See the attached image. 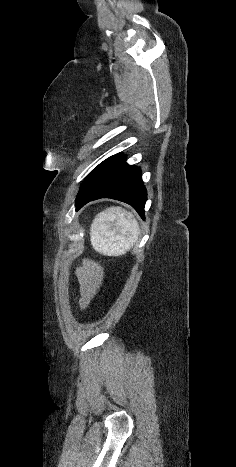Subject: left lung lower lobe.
I'll use <instances>...</instances> for the list:
<instances>
[{
	"label": "left lung lower lobe",
	"instance_id": "1",
	"mask_svg": "<svg viewBox=\"0 0 236 467\" xmlns=\"http://www.w3.org/2000/svg\"><path fill=\"white\" fill-rule=\"evenodd\" d=\"M123 154L113 155L92 170L76 198V210L99 198H112L130 204L144 219L147 191L140 168L128 165Z\"/></svg>",
	"mask_w": 236,
	"mask_h": 467
}]
</instances>
